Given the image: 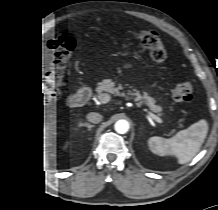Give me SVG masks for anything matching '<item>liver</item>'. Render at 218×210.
Returning a JSON list of instances; mask_svg holds the SVG:
<instances>
[{"label":"liver","instance_id":"6515ba94","mask_svg":"<svg viewBox=\"0 0 218 210\" xmlns=\"http://www.w3.org/2000/svg\"><path fill=\"white\" fill-rule=\"evenodd\" d=\"M43 133H44V148L46 150V142L49 138V133H50V125L44 123V126H43Z\"/></svg>","mask_w":218,"mask_h":210}]
</instances>
